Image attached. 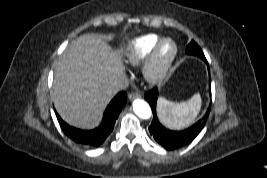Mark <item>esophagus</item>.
<instances>
[{
  "mask_svg": "<svg viewBox=\"0 0 267 178\" xmlns=\"http://www.w3.org/2000/svg\"><path fill=\"white\" fill-rule=\"evenodd\" d=\"M140 97H141V95L139 92H131L128 94L129 100H134V99L140 98Z\"/></svg>",
  "mask_w": 267,
  "mask_h": 178,
  "instance_id": "obj_1",
  "label": "esophagus"
}]
</instances>
